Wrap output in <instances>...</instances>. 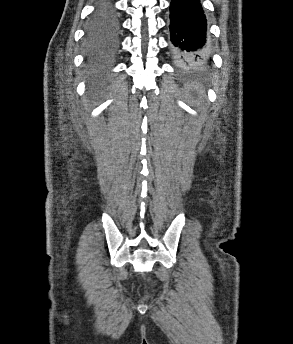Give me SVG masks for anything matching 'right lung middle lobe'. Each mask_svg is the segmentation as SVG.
Masks as SVG:
<instances>
[{"instance_id": "dd1d6c3e", "label": "right lung middle lobe", "mask_w": 293, "mask_h": 344, "mask_svg": "<svg viewBox=\"0 0 293 344\" xmlns=\"http://www.w3.org/2000/svg\"><path fill=\"white\" fill-rule=\"evenodd\" d=\"M116 27V16L110 4H103L91 19L86 35V42L91 50L108 47L112 41V31Z\"/></svg>"}]
</instances>
